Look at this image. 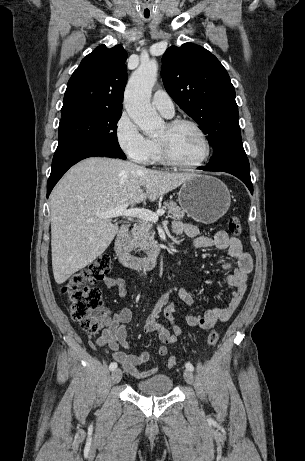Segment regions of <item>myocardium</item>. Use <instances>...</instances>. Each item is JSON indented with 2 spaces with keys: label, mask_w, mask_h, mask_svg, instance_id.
Returning a JSON list of instances; mask_svg holds the SVG:
<instances>
[{
  "label": "myocardium",
  "mask_w": 305,
  "mask_h": 461,
  "mask_svg": "<svg viewBox=\"0 0 305 461\" xmlns=\"http://www.w3.org/2000/svg\"><path fill=\"white\" fill-rule=\"evenodd\" d=\"M184 125H188V126L193 127L198 132V134L200 135V137H201V139H202V141L204 143V147H205V151H204L203 156L198 161H196L194 163L181 162L172 153L169 141L167 139L159 138L158 142H159L161 154H162V157H163L164 161L166 163L174 166V167L181 168V169H196V168H199L200 166H202L208 160V158L210 157L211 143L209 141V138H208L206 132L203 130V128L197 122H195L193 120L185 119V118H179V119H173V120H171V121H169L167 123V127H168L169 131H174L177 128H179L181 126H184Z\"/></svg>",
  "instance_id": "obj_1"
}]
</instances>
